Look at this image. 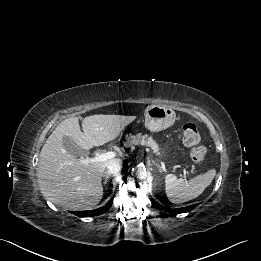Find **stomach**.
<instances>
[{
  "label": "stomach",
  "instance_id": "0dacf381",
  "mask_svg": "<svg viewBox=\"0 0 261 261\" xmlns=\"http://www.w3.org/2000/svg\"><path fill=\"white\" fill-rule=\"evenodd\" d=\"M176 119L175 111L166 105H150L145 110V127L159 132L170 127Z\"/></svg>",
  "mask_w": 261,
  "mask_h": 261
}]
</instances>
